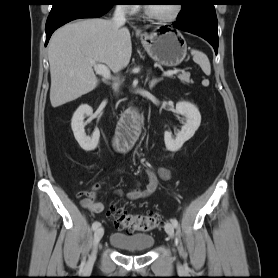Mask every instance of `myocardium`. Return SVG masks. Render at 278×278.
Here are the masks:
<instances>
[{"label":"myocardium","mask_w":278,"mask_h":278,"mask_svg":"<svg viewBox=\"0 0 278 278\" xmlns=\"http://www.w3.org/2000/svg\"><path fill=\"white\" fill-rule=\"evenodd\" d=\"M182 9H183L182 5L180 3H177V4H175L174 12L171 15L160 16V15L154 14L150 10L149 6H147V5L144 6V11H145L146 16L149 19H152L154 21L161 22V23H170V22L175 21L180 16Z\"/></svg>","instance_id":"myocardium-1"}]
</instances>
